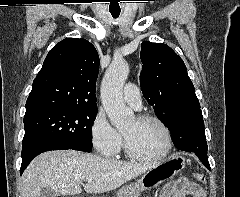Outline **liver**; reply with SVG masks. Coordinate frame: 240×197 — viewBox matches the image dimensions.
I'll return each mask as SVG.
<instances>
[{
  "label": "liver",
  "mask_w": 240,
  "mask_h": 197,
  "mask_svg": "<svg viewBox=\"0 0 240 197\" xmlns=\"http://www.w3.org/2000/svg\"><path fill=\"white\" fill-rule=\"evenodd\" d=\"M104 158L75 150L49 151L37 156L22 175V197H40L43 188L62 196L84 190L99 194L115 190L127 181L157 166Z\"/></svg>",
  "instance_id": "1"
}]
</instances>
